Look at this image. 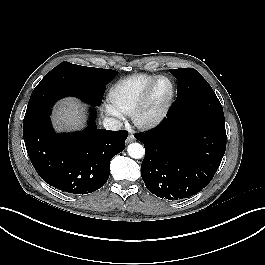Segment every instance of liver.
Returning a JSON list of instances; mask_svg holds the SVG:
<instances>
[{"instance_id":"6515ba94","label":"liver","mask_w":265,"mask_h":265,"mask_svg":"<svg viewBox=\"0 0 265 265\" xmlns=\"http://www.w3.org/2000/svg\"><path fill=\"white\" fill-rule=\"evenodd\" d=\"M83 123L84 113L80 102L73 98L59 102L54 113V124L58 131L78 130Z\"/></svg>"}]
</instances>
